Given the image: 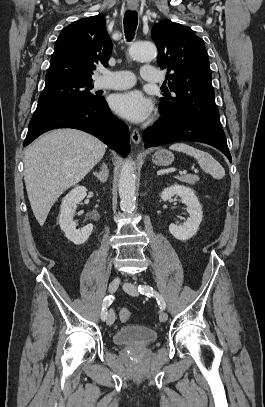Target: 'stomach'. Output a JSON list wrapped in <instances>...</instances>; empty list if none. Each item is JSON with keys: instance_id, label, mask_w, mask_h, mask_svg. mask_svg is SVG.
Segmentation results:
<instances>
[{"instance_id": "obj_1", "label": "stomach", "mask_w": 265, "mask_h": 407, "mask_svg": "<svg viewBox=\"0 0 265 407\" xmlns=\"http://www.w3.org/2000/svg\"><path fill=\"white\" fill-rule=\"evenodd\" d=\"M173 161L174 155L166 149H160L152 156V162L158 166H168Z\"/></svg>"}]
</instances>
